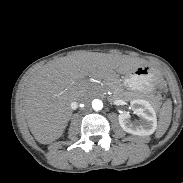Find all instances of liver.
Returning <instances> with one entry per match:
<instances>
[{
    "label": "liver",
    "instance_id": "1",
    "mask_svg": "<svg viewBox=\"0 0 183 183\" xmlns=\"http://www.w3.org/2000/svg\"><path fill=\"white\" fill-rule=\"evenodd\" d=\"M143 64V60L126 55L84 51L45 64L28 79L23 97L32 135L41 144L63 135L72 116L70 104L81 98L86 76L108 79Z\"/></svg>",
    "mask_w": 183,
    "mask_h": 183
}]
</instances>
